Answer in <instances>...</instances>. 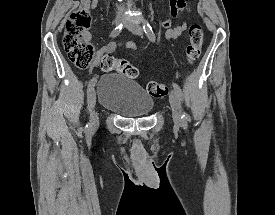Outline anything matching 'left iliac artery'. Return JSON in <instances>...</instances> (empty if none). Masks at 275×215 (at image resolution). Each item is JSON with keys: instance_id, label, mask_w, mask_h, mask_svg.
I'll list each match as a JSON object with an SVG mask.
<instances>
[{"instance_id": "1", "label": "left iliac artery", "mask_w": 275, "mask_h": 215, "mask_svg": "<svg viewBox=\"0 0 275 215\" xmlns=\"http://www.w3.org/2000/svg\"><path fill=\"white\" fill-rule=\"evenodd\" d=\"M143 29H144V32L146 33L147 37L152 42H154L155 41V35H154L153 30H152V27L145 20L143 22ZM173 87H174V90L177 93V95L180 97V99L183 100V94H182V91H181L179 85L176 84V83H173ZM182 119L186 122V121H188L190 119V116L186 112H184L183 115H182Z\"/></svg>"}]
</instances>
